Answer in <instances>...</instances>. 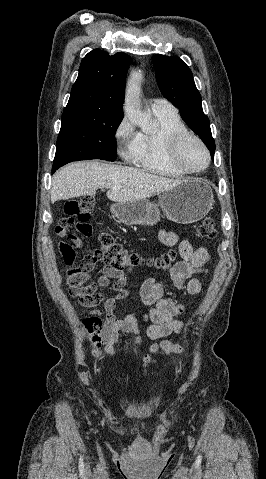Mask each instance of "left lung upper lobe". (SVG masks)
<instances>
[{
  "instance_id": "5c2ea615",
  "label": "left lung upper lobe",
  "mask_w": 266,
  "mask_h": 479,
  "mask_svg": "<svg viewBox=\"0 0 266 479\" xmlns=\"http://www.w3.org/2000/svg\"><path fill=\"white\" fill-rule=\"evenodd\" d=\"M153 63L161 93L173 105L178 106L182 119L198 134L214 159L215 142L210 122L203 112L201 95L195 86L191 70L177 56L157 54L153 58Z\"/></svg>"
}]
</instances>
